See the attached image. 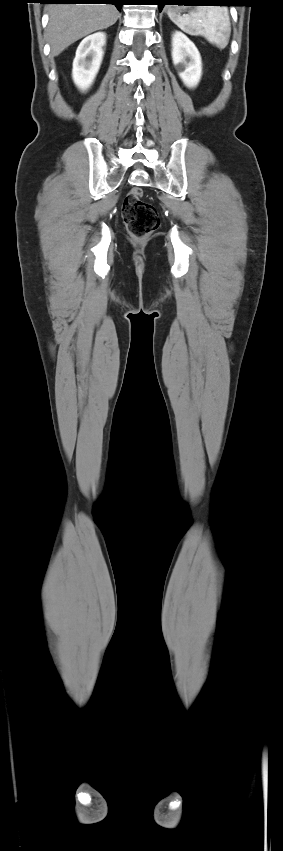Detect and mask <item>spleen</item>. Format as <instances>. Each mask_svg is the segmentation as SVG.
Wrapping results in <instances>:
<instances>
[{"label":"spleen","instance_id":"obj_1","mask_svg":"<svg viewBox=\"0 0 283 851\" xmlns=\"http://www.w3.org/2000/svg\"><path fill=\"white\" fill-rule=\"evenodd\" d=\"M168 16L182 31L201 35L219 49H224L230 39L231 23L227 7L201 6L181 16L180 7L168 6Z\"/></svg>","mask_w":283,"mask_h":851}]
</instances>
